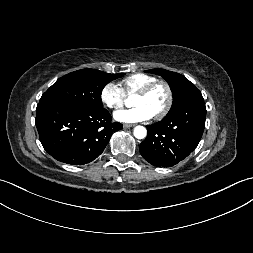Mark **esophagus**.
Masks as SVG:
<instances>
[{"label": "esophagus", "mask_w": 253, "mask_h": 253, "mask_svg": "<svg viewBox=\"0 0 253 253\" xmlns=\"http://www.w3.org/2000/svg\"><path fill=\"white\" fill-rule=\"evenodd\" d=\"M133 126H135V124H129V123L123 124L124 128H130V127H133Z\"/></svg>", "instance_id": "esophagus-1"}]
</instances>
